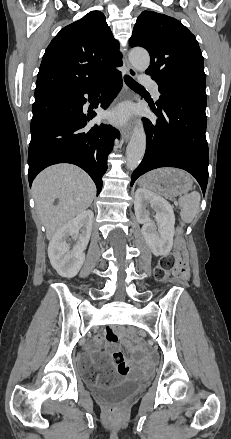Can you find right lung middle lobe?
<instances>
[{
	"label": "right lung middle lobe",
	"instance_id": "obj_1",
	"mask_svg": "<svg viewBox=\"0 0 231 439\" xmlns=\"http://www.w3.org/2000/svg\"><path fill=\"white\" fill-rule=\"evenodd\" d=\"M62 109V103L53 97L38 98L33 104V118L39 119L52 115Z\"/></svg>",
	"mask_w": 231,
	"mask_h": 439
}]
</instances>
